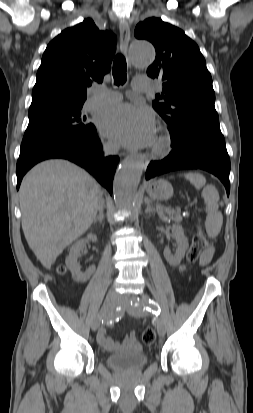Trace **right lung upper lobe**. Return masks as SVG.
<instances>
[{"label":"right lung upper lobe","mask_w":253,"mask_h":413,"mask_svg":"<svg viewBox=\"0 0 253 413\" xmlns=\"http://www.w3.org/2000/svg\"><path fill=\"white\" fill-rule=\"evenodd\" d=\"M115 49L116 36L89 18L62 31L43 54L29 112L83 105L86 88L110 71Z\"/></svg>","instance_id":"cb5924a9"}]
</instances>
